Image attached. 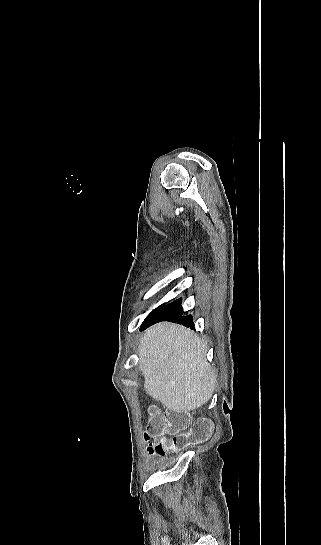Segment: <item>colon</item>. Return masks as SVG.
<instances>
[{
  "label": "colon",
  "mask_w": 321,
  "mask_h": 545,
  "mask_svg": "<svg viewBox=\"0 0 321 545\" xmlns=\"http://www.w3.org/2000/svg\"><path fill=\"white\" fill-rule=\"evenodd\" d=\"M189 424V412L152 408L144 432L149 453L163 456L203 443L211 437L213 426L210 420L198 419L187 430Z\"/></svg>",
  "instance_id": "5ec220e1"
}]
</instances>
